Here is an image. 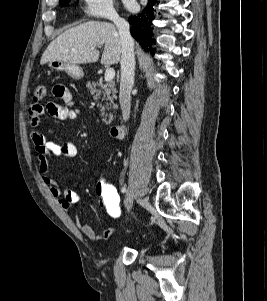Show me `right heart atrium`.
Masks as SVG:
<instances>
[{"mask_svg": "<svg viewBox=\"0 0 267 301\" xmlns=\"http://www.w3.org/2000/svg\"><path fill=\"white\" fill-rule=\"evenodd\" d=\"M84 12L95 18L117 19L113 0H82Z\"/></svg>", "mask_w": 267, "mask_h": 301, "instance_id": "right-heart-atrium-1", "label": "right heart atrium"}]
</instances>
